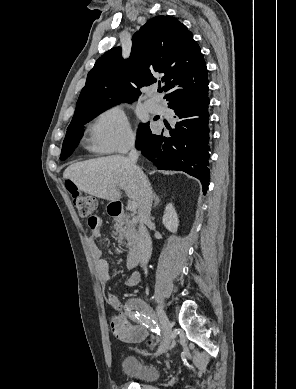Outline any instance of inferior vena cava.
I'll use <instances>...</instances> for the list:
<instances>
[{
    "instance_id": "602c4592",
    "label": "inferior vena cava",
    "mask_w": 296,
    "mask_h": 389,
    "mask_svg": "<svg viewBox=\"0 0 296 389\" xmlns=\"http://www.w3.org/2000/svg\"><path fill=\"white\" fill-rule=\"evenodd\" d=\"M129 163L134 167L140 182V201L138 205V221H139V236L141 242L145 246V251L142 256V265L146 264L151 254V238L145 227L146 222L150 218L153 194L150 183L146 175L136 166L138 153L134 147V139L129 144Z\"/></svg>"
}]
</instances>
